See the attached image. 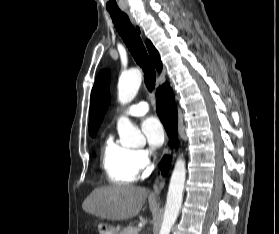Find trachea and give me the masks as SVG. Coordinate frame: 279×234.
Segmentation results:
<instances>
[{
  "mask_svg": "<svg viewBox=\"0 0 279 234\" xmlns=\"http://www.w3.org/2000/svg\"><path fill=\"white\" fill-rule=\"evenodd\" d=\"M116 30L125 42L136 63L143 69L144 82L150 92L155 87L156 73L143 42L131 24L128 16L123 12H110Z\"/></svg>",
  "mask_w": 279,
  "mask_h": 234,
  "instance_id": "3493384b",
  "label": "trachea"
}]
</instances>
